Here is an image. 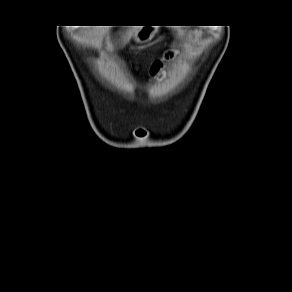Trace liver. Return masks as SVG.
Here are the masks:
<instances>
[{
    "mask_svg": "<svg viewBox=\"0 0 292 292\" xmlns=\"http://www.w3.org/2000/svg\"><path fill=\"white\" fill-rule=\"evenodd\" d=\"M132 34H133V32H129V33H128V36H130V35H132Z\"/></svg>",
    "mask_w": 292,
    "mask_h": 292,
    "instance_id": "liver-1",
    "label": "liver"
}]
</instances>
